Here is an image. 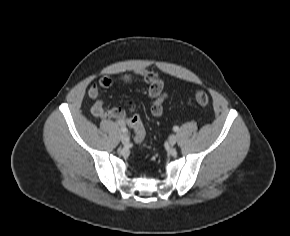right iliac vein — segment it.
I'll list each match as a JSON object with an SVG mask.
<instances>
[{
	"mask_svg": "<svg viewBox=\"0 0 290 236\" xmlns=\"http://www.w3.org/2000/svg\"><path fill=\"white\" fill-rule=\"evenodd\" d=\"M120 139H121V142H122L123 144H128V143L130 142V138H129V135H128L127 132H124V133L121 135Z\"/></svg>",
	"mask_w": 290,
	"mask_h": 236,
	"instance_id": "right-iliac-vein-1",
	"label": "right iliac vein"
}]
</instances>
